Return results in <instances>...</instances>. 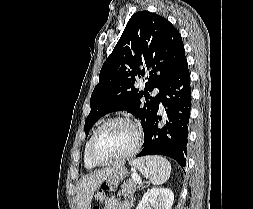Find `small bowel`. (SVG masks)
Returning <instances> with one entry per match:
<instances>
[{
    "label": "small bowel",
    "mask_w": 253,
    "mask_h": 209,
    "mask_svg": "<svg viewBox=\"0 0 253 209\" xmlns=\"http://www.w3.org/2000/svg\"><path fill=\"white\" fill-rule=\"evenodd\" d=\"M103 209H129L127 202H120L117 199L109 200Z\"/></svg>",
    "instance_id": "obj_1"
}]
</instances>
